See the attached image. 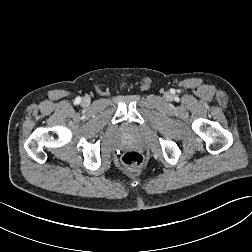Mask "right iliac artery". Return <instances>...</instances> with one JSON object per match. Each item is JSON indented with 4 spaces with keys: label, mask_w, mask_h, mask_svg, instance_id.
I'll return each mask as SVG.
<instances>
[{
    "label": "right iliac artery",
    "mask_w": 252,
    "mask_h": 252,
    "mask_svg": "<svg viewBox=\"0 0 252 252\" xmlns=\"http://www.w3.org/2000/svg\"><path fill=\"white\" fill-rule=\"evenodd\" d=\"M76 103H80L81 102V98L80 97H77L76 100H75Z\"/></svg>",
    "instance_id": "right-iliac-artery-1"
}]
</instances>
